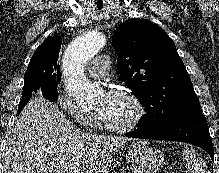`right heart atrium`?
I'll return each instance as SVG.
<instances>
[{"instance_id": "d8ad5b80", "label": "right heart atrium", "mask_w": 219, "mask_h": 173, "mask_svg": "<svg viewBox=\"0 0 219 173\" xmlns=\"http://www.w3.org/2000/svg\"><path fill=\"white\" fill-rule=\"evenodd\" d=\"M59 106L68 113L79 125L93 128L97 123L96 113L82 106L72 95L59 90L57 92Z\"/></svg>"}]
</instances>
